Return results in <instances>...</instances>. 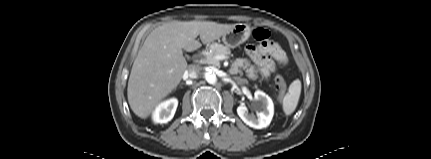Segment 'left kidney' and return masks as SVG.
I'll list each match as a JSON object with an SVG mask.
<instances>
[{"label": "left kidney", "mask_w": 431, "mask_h": 159, "mask_svg": "<svg viewBox=\"0 0 431 159\" xmlns=\"http://www.w3.org/2000/svg\"><path fill=\"white\" fill-rule=\"evenodd\" d=\"M256 101L255 108L258 110L257 115L249 114L248 109L244 105L237 108V114L248 126L255 129L266 128L274 115V104L271 98L262 91L254 93Z\"/></svg>", "instance_id": "1"}]
</instances>
